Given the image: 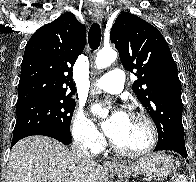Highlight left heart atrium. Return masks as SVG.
<instances>
[{
	"label": "left heart atrium",
	"mask_w": 196,
	"mask_h": 182,
	"mask_svg": "<svg viewBox=\"0 0 196 182\" xmlns=\"http://www.w3.org/2000/svg\"><path fill=\"white\" fill-rule=\"evenodd\" d=\"M94 111L98 113L100 106L95 105ZM126 123L127 115L121 111H117L108 120L103 122V129L106 135L114 140L120 134Z\"/></svg>",
	"instance_id": "39dd6f15"
}]
</instances>
